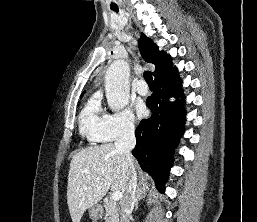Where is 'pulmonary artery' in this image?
<instances>
[{
    "label": "pulmonary artery",
    "instance_id": "obj_1",
    "mask_svg": "<svg viewBox=\"0 0 257 222\" xmlns=\"http://www.w3.org/2000/svg\"><path fill=\"white\" fill-rule=\"evenodd\" d=\"M135 89L140 95L148 94V87L143 80H139L135 83Z\"/></svg>",
    "mask_w": 257,
    "mask_h": 222
}]
</instances>
